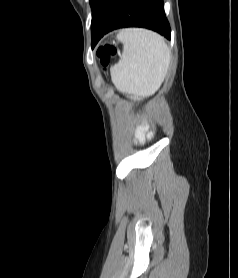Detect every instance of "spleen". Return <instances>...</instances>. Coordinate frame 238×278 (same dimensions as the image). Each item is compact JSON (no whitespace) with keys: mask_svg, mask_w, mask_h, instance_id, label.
<instances>
[{"mask_svg":"<svg viewBox=\"0 0 238 278\" xmlns=\"http://www.w3.org/2000/svg\"><path fill=\"white\" fill-rule=\"evenodd\" d=\"M120 60L111 68L114 85L122 92L149 95L159 89L170 64V51L159 34L141 28L122 29Z\"/></svg>","mask_w":238,"mask_h":278,"instance_id":"obj_1","label":"spleen"}]
</instances>
